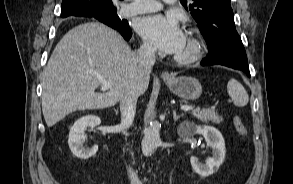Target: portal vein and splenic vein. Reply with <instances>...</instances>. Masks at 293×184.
<instances>
[{
    "label": "portal vein and splenic vein",
    "instance_id": "obj_1",
    "mask_svg": "<svg viewBox=\"0 0 293 184\" xmlns=\"http://www.w3.org/2000/svg\"><path fill=\"white\" fill-rule=\"evenodd\" d=\"M98 77H99V80L102 83V90L112 88V85L109 82H107L102 76L99 75ZM191 109H192V107L187 106V105L181 106V110H183V111H189Z\"/></svg>",
    "mask_w": 293,
    "mask_h": 184
}]
</instances>
